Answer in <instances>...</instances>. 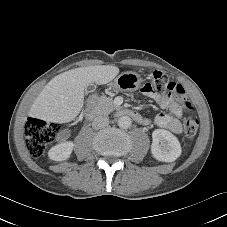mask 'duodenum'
<instances>
[{
	"label": "duodenum",
	"instance_id": "duodenum-1",
	"mask_svg": "<svg viewBox=\"0 0 227 227\" xmlns=\"http://www.w3.org/2000/svg\"><path fill=\"white\" fill-rule=\"evenodd\" d=\"M95 99H96L95 97H91L87 102L85 116L88 120H92L95 117V111H94ZM116 115L131 117L132 119H134L135 121H137L139 123H144V121H145V119L142 117L141 114H139L136 111L127 109V108L117 109Z\"/></svg>",
	"mask_w": 227,
	"mask_h": 227
}]
</instances>
